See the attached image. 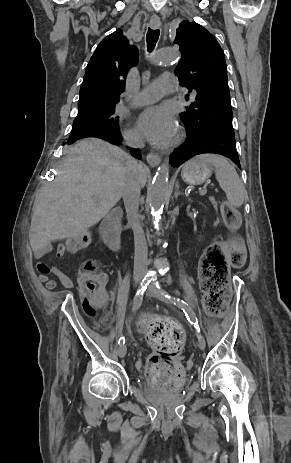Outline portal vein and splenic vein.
<instances>
[{
  "instance_id": "portal-vein-and-splenic-vein-1",
  "label": "portal vein and splenic vein",
  "mask_w": 291,
  "mask_h": 463,
  "mask_svg": "<svg viewBox=\"0 0 291 463\" xmlns=\"http://www.w3.org/2000/svg\"><path fill=\"white\" fill-rule=\"evenodd\" d=\"M206 193V188L204 187V189L200 192L201 195H204Z\"/></svg>"
}]
</instances>
